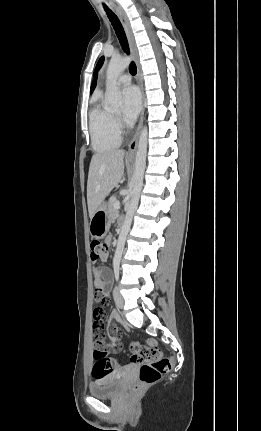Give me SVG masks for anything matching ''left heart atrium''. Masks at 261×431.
<instances>
[{"label":"left heart atrium","instance_id":"1","mask_svg":"<svg viewBox=\"0 0 261 431\" xmlns=\"http://www.w3.org/2000/svg\"><path fill=\"white\" fill-rule=\"evenodd\" d=\"M123 119L130 123L133 122L138 115L141 107V97L138 89L135 86H127L122 90Z\"/></svg>","mask_w":261,"mask_h":431}]
</instances>
